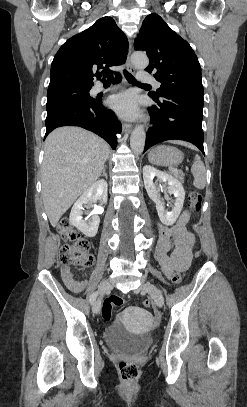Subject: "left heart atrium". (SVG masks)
<instances>
[{
    "label": "left heart atrium",
    "instance_id": "39dd6f15",
    "mask_svg": "<svg viewBox=\"0 0 247 407\" xmlns=\"http://www.w3.org/2000/svg\"><path fill=\"white\" fill-rule=\"evenodd\" d=\"M110 107L122 117H133L137 114V99L131 93H122L110 98Z\"/></svg>",
    "mask_w": 247,
    "mask_h": 407
}]
</instances>
